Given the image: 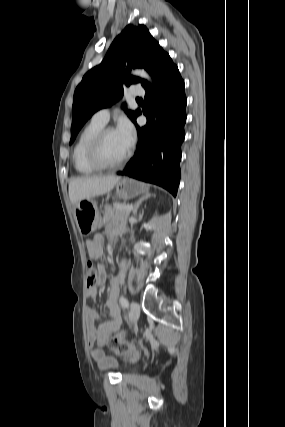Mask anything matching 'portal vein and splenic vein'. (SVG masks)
I'll use <instances>...</instances> for the list:
<instances>
[{"label": "portal vein and splenic vein", "mask_w": 285, "mask_h": 427, "mask_svg": "<svg viewBox=\"0 0 285 427\" xmlns=\"http://www.w3.org/2000/svg\"><path fill=\"white\" fill-rule=\"evenodd\" d=\"M132 209H133V206H132V205H128V206H127V210L131 211Z\"/></svg>", "instance_id": "18ae733b"}]
</instances>
